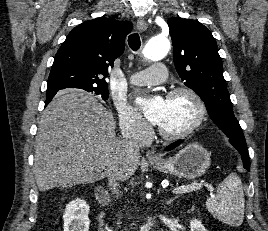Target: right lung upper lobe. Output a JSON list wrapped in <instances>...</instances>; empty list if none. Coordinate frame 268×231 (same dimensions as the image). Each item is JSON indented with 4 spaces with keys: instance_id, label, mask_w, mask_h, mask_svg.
Returning a JSON list of instances; mask_svg holds the SVG:
<instances>
[{
    "instance_id": "cb5924a9",
    "label": "right lung upper lobe",
    "mask_w": 268,
    "mask_h": 231,
    "mask_svg": "<svg viewBox=\"0 0 268 231\" xmlns=\"http://www.w3.org/2000/svg\"><path fill=\"white\" fill-rule=\"evenodd\" d=\"M129 21L96 18L76 26L66 37L51 68L47 89L108 88L105 78L124 52ZM56 92L47 93L49 103Z\"/></svg>"
}]
</instances>
